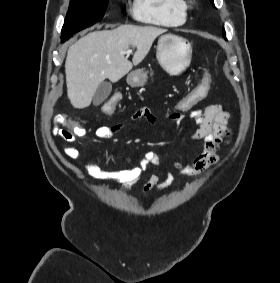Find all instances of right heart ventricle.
<instances>
[{
  "label": "right heart ventricle",
  "instance_id": "obj_1",
  "mask_svg": "<svg viewBox=\"0 0 280 283\" xmlns=\"http://www.w3.org/2000/svg\"><path fill=\"white\" fill-rule=\"evenodd\" d=\"M132 13L144 23L175 27L185 23L187 5L185 0H134Z\"/></svg>",
  "mask_w": 280,
  "mask_h": 283
}]
</instances>
